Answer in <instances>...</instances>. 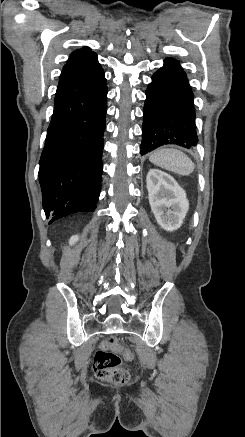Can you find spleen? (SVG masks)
<instances>
[{"mask_svg": "<svg viewBox=\"0 0 245 437\" xmlns=\"http://www.w3.org/2000/svg\"><path fill=\"white\" fill-rule=\"evenodd\" d=\"M150 162L182 176L190 175L195 168L193 161L183 152L172 148H159L149 156Z\"/></svg>", "mask_w": 245, "mask_h": 437, "instance_id": "3e777b00", "label": "spleen"}]
</instances>
